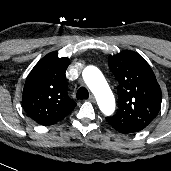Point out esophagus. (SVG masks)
<instances>
[{"label":"esophagus","instance_id":"esophagus-1","mask_svg":"<svg viewBox=\"0 0 171 171\" xmlns=\"http://www.w3.org/2000/svg\"><path fill=\"white\" fill-rule=\"evenodd\" d=\"M89 101L93 103L95 102V97L92 94L89 96Z\"/></svg>","mask_w":171,"mask_h":171}]
</instances>
